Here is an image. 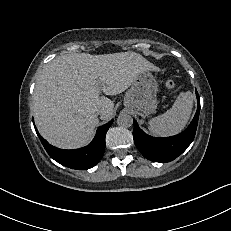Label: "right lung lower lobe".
Masks as SVG:
<instances>
[{
    "mask_svg": "<svg viewBox=\"0 0 231 231\" xmlns=\"http://www.w3.org/2000/svg\"><path fill=\"white\" fill-rule=\"evenodd\" d=\"M113 120L98 128L93 141L86 147L75 150L58 149L43 139L36 130L45 150L56 162L72 169L87 170L94 167L105 151V136Z\"/></svg>",
    "mask_w": 231,
    "mask_h": 231,
    "instance_id": "1",
    "label": "right lung lower lobe"
}]
</instances>
